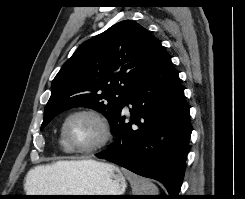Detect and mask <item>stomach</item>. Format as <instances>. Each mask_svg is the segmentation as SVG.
Instances as JSON below:
<instances>
[{"instance_id": "obj_1", "label": "stomach", "mask_w": 245, "mask_h": 199, "mask_svg": "<svg viewBox=\"0 0 245 199\" xmlns=\"http://www.w3.org/2000/svg\"><path fill=\"white\" fill-rule=\"evenodd\" d=\"M66 181L67 191L48 195H123L126 176L116 166L91 162L73 171ZM105 196L51 197L48 199H101Z\"/></svg>"}]
</instances>
